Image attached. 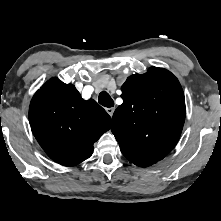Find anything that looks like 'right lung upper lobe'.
<instances>
[{
  "instance_id": "obj_1",
  "label": "right lung upper lobe",
  "mask_w": 221,
  "mask_h": 221,
  "mask_svg": "<svg viewBox=\"0 0 221 221\" xmlns=\"http://www.w3.org/2000/svg\"><path fill=\"white\" fill-rule=\"evenodd\" d=\"M29 122L42 149L64 166L89 158L93 144L111 126L110 116L95 100L82 99L75 86L57 78L47 81L33 96Z\"/></svg>"
}]
</instances>
